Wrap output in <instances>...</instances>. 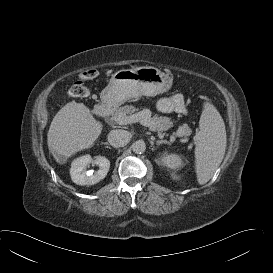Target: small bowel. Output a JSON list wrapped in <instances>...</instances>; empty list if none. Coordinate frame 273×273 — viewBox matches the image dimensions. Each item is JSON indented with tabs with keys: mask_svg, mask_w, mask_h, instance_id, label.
<instances>
[{
	"mask_svg": "<svg viewBox=\"0 0 273 273\" xmlns=\"http://www.w3.org/2000/svg\"><path fill=\"white\" fill-rule=\"evenodd\" d=\"M157 108L162 112H176L184 114L186 112L185 102L182 94H174L158 100Z\"/></svg>",
	"mask_w": 273,
	"mask_h": 273,
	"instance_id": "c3829d8e",
	"label": "small bowel"
}]
</instances>
